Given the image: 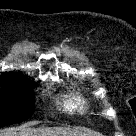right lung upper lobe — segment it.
<instances>
[{"instance_id":"right-lung-upper-lobe-1","label":"right lung upper lobe","mask_w":136,"mask_h":136,"mask_svg":"<svg viewBox=\"0 0 136 136\" xmlns=\"http://www.w3.org/2000/svg\"><path fill=\"white\" fill-rule=\"evenodd\" d=\"M16 79H26V77L20 73L4 72L1 75L0 82H8Z\"/></svg>"}]
</instances>
